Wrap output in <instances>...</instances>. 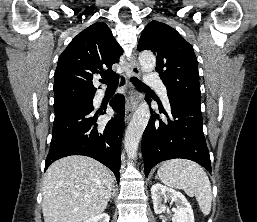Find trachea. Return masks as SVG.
I'll return each instance as SVG.
<instances>
[{
	"label": "trachea",
	"instance_id": "1",
	"mask_svg": "<svg viewBox=\"0 0 257 222\" xmlns=\"http://www.w3.org/2000/svg\"><path fill=\"white\" fill-rule=\"evenodd\" d=\"M102 83L106 84L108 88H114L118 86L119 82V75L114 74L111 76H105L100 80ZM131 82L135 85L138 89H149L147 85H145L142 81H140L136 77L131 78Z\"/></svg>",
	"mask_w": 257,
	"mask_h": 222
}]
</instances>
